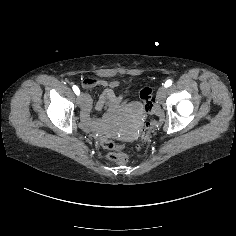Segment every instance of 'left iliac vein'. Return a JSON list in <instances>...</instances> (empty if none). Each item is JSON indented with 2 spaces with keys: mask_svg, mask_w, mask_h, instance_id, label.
Listing matches in <instances>:
<instances>
[{
  "mask_svg": "<svg viewBox=\"0 0 236 236\" xmlns=\"http://www.w3.org/2000/svg\"><path fill=\"white\" fill-rule=\"evenodd\" d=\"M166 94H167L166 88L163 86L159 87L156 94L157 100L162 103L165 100Z\"/></svg>",
  "mask_w": 236,
  "mask_h": 236,
  "instance_id": "4c4485c4",
  "label": "left iliac vein"
}]
</instances>
